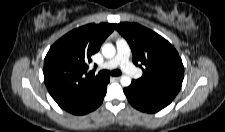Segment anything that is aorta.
<instances>
[{"instance_id": "1", "label": "aorta", "mask_w": 225, "mask_h": 132, "mask_svg": "<svg viewBox=\"0 0 225 132\" xmlns=\"http://www.w3.org/2000/svg\"><path fill=\"white\" fill-rule=\"evenodd\" d=\"M116 49L114 45L107 43L102 47V55L105 58H112L115 56ZM120 83L124 87H128L131 84V78L129 76L123 75L120 79Z\"/></svg>"}]
</instances>
